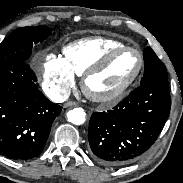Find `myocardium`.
Masks as SVG:
<instances>
[{"label": "myocardium", "mask_w": 183, "mask_h": 183, "mask_svg": "<svg viewBox=\"0 0 183 183\" xmlns=\"http://www.w3.org/2000/svg\"><path fill=\"white\" fill-rule=\"evenodd\" d=\"M125 51H133L139 57V67L134 74V76L120 89L117 91L108 94V95H98L93 93L88 88V81L94 75L104 71L112 62V60L121 52ZM145 66V58L142 51L136 47L132 46H119L108 51L100 60H98L95 64L90 66L81 77V90L83 94L93 102L97 103H112L121 100L129 90L135 85L139 77L141 76L143 69Z\"/></svg>", "instance_id": "f54148a6"}]
</instances>
